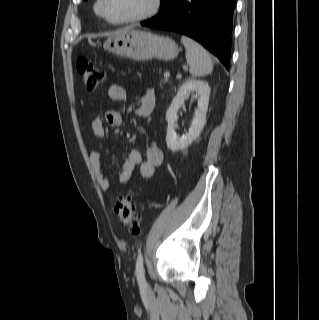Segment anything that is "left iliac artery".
Wrapping results in <instances>:
<instances>
[{
	"label": "left iliac artery",
	"instance_id": "44dca946",
	"mask_svg": "<svg viewBox=\"0 0 319 320\" xmlns=\"http://www.w3.org/2000/svg\"><path fill=\"white\" fill-rule=\"evenodd\" d=\"M136 277L138 284L140 286H146V279L144 275V266H143V255L141 252L138 253L136 261Z\"/></svg>",
	"mask_w": 319,
	"mask_h": 320
}]
</instances>
